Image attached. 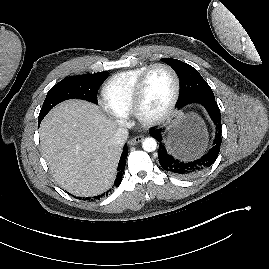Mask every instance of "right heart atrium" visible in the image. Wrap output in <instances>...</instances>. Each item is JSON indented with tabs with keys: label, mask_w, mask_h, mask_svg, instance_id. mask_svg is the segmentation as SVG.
<instances>
[{
	"label": "right heart atrium",
	"mask_w": 269,
	"mask_h": 269,
	"mask_svg": "<svg viewBox=\"0 0 269 269\" xmlns=\"http://www.w3.org/2000/svg\"><path fill=\"white\" fill-rule=\"evenodd\" d=\"M113 115H114L116 121H117L119 124H122V125H123V124L126 123V117L121 116V115H117V114H114V113H113Z\"/></svg>",
	"instance_id": "d8ad5b80"
}]
</instances>
